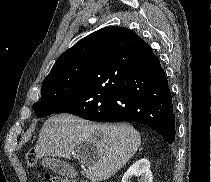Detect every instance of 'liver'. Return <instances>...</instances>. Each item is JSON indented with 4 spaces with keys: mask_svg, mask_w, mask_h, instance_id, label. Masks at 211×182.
Masks as SVG:
<instances>
[{
    "mask_svg": "<svg viewBox=\"0 0 211 182\" xmlns=\"http://www.w3.org/2000/svg\"><path fill=\"white\" fill-rule=\"evenodd\" d=\"M100 134V138L96 134ZM93 145L96 157L81 160L87 166L82 174L92 182L109 179L136 153L141 135L129 124H91L71 114L49 118L35 147L36 156L77 157L76 147Z\"/></svg>",
    "mask_w": 211,
    "mask_h": 182,
    "instance_id": "obj_1",
    "label": "liver"
}]
</instances>
